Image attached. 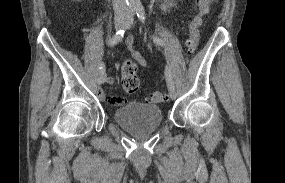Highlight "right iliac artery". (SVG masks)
I'll use <instances>...</instances> for the list:
<instances>
[{
	"instance_id": "1",
	"label": "right iliac artery",
	"mask_w": 285,
	"mask_h": 183,
	"mask_svg": "<svg viewBox=\"0 0 285 183\" xmlns=\"http://www.w3.org/2000/svg\"><path fill=\"white\" fill-rule=\"evenodd\" d=\"M134 11H135V9H132V10L130 11L131 17H132L131 21L133 20ZM124 33H125V30H124V29H121V30L117 31L116 34H115L112 38L109 39L108 45H109L110 47L116 45L118 42H120V41L123 39ZM99 70H100V72H103V71L105 70V66H104L103 63L100 64Z\"/></svg>"
}]
</instances>
